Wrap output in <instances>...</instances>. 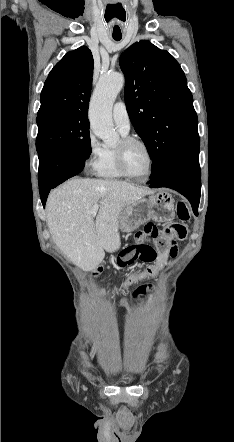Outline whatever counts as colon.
Listing matches in <instances>:
<instances>
[{"label":"colon","instance_id":"1","mask_svg":"<svg viewBox=\"0 0 234 442\" xmlns=\"http://www.w3.org/2000/svg\"><path fill=\"white\" fill-rule=\"evenodd\" d=\"M177 215L181 222L172 223L163 230H159L152 223L147 224L143 231L137 234L138 242L124 248L120 252L117 258V265L120 268H124L136 260L151 263L157 259L158 255L169 253L173 249L176 240H184L187 236V227L184 222L190 219V212L182 201L177 203ZM150 237L154 239V246L146 242ZM158 270L157 265L149 266L143 272L131 276L125 283V287L147 277L155 276ZM139 291H142V289ZM120 304H123V301Z\"/></svg>","mask_w":234,"mask_h":442}]
</instances>
